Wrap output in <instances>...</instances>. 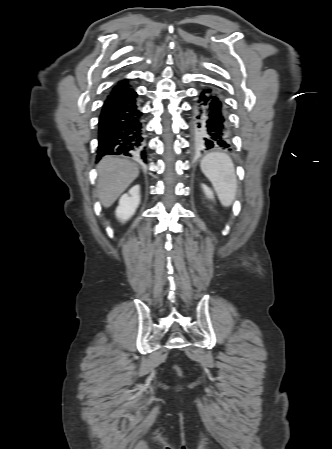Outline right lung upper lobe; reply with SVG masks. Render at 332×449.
Wrapping results in <instances>:
<instances>
[{"label": "right lung upper lobe", "mask_w": 332, "mask_h": 449, "mask_svg": "<svg viewBox=\"0 0 332 449\" xmlns=\"http://www.w3.org/2000/svg\"><path fill=\"white\" fill-rule=\"evenodd\" d=\"M131 89L127 80L119 81L112 89L111 93L115 92H125Z\"/></svg>", "instance_id": "right-lung-upper-lobe-1"}]
</instances>
